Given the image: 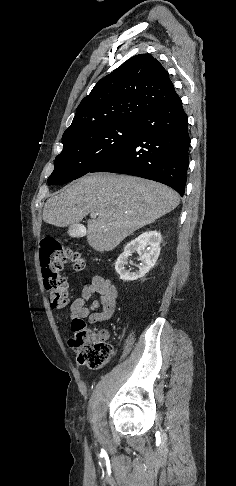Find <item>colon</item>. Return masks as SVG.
I'll use <instances>...</instances> for the list:
<instances>
[{"label": "colon", "instance_id": "colon-1", "mask_svg": "<svg viewBox=\"0 0 236 486\" xmlns=\"http://www.w3.org/2000/svg\"><path fill=\"white\" fill-rule=\"evenodd\" d=\"M71 261L75 271H82L85 261L77 250L60 245L55 239H46L40 248L43 283L53 309H63L69 302L67 283L60 277L64 263ZM70 346L78 361L90 368H100L110 359L112 348L98 333L90 331L83 319L72 321Z\"/></svg>", "mask_w": 236, "mask_h": 486}]
</instances>
